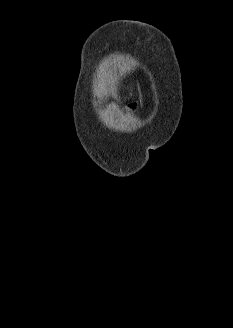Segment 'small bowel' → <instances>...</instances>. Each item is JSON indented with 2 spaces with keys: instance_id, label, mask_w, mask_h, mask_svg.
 I'll use <instances>...</instances> for the list:
<instances>
[{
  "instance_id": "obj_1",
  "label": "small bowel",
  "mask_w": 233,
  "mask_h": 328,
  "mask_svg": "<svg viewBox=\"0 0 233 328\" xmlns=\"http://www.w3.org/2000/svg\"><path fill=\"white\" fill-rule=\"evenodd\" d=\"M136 109V104H130L127 108L126 114L130 115Z\"/></svg>"
}]
</instances>
